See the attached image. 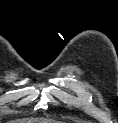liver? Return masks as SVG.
<instances>
[{
	"mask_svg": "<svg viewBox=\"0 0 118 123\" xmlns=\"http://www.w3.org/2000/svg\"><path fill=\"white\" fill-rule=\"evenodd\" d=\"M10 123H57V122L47 119L26 118V119L13 120Z\"/></svg>",
	"mask_w": 118,
	"mask_h": 123,
	"instance_id": "obj_1",
	"label": "liver"
}]
</instances>
